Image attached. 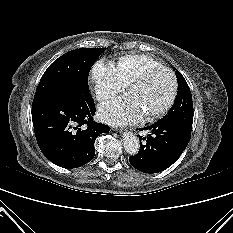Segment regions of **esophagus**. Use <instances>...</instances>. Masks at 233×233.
Listing matches in <instances>:
<instances>
[{"instance_id": "esophagus-1", "label": "esophagus", "mask_w": 233, "mask_h": 233, "mask_svg": "<svg viewBox=\"0 0 233 233\" xmlns=\"http://www.w3.org/2000/svg\"><path fill=\"white\" fill-rule=\"evenodd\" d=\"M123 131H132V129H126V130L120 129V130H118L119 133H122Z\"/></svg>"}]
</instances>
